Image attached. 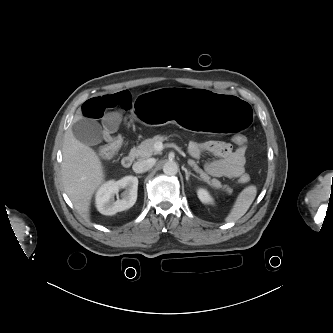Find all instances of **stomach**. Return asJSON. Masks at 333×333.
I'll return each mask as SVG.
<instances>
[{
	"label": "stomach",
	"instance_id": "stomach-1",
	"mask_svg": "<svg viewBox=\"0 0 333 333\" xmlns=\"http://www.w3.org/2000/svg\"><path fill=\"white\" fill-rule=\"evenodd\" d=\"M134 117L149 126L167 122L208 134L236 135L251 126L254 112L239 98L178 86L138 95Z\"/></svg>",
	"mask_w": 333,
	"mask_h": 333
}]
</instances>
